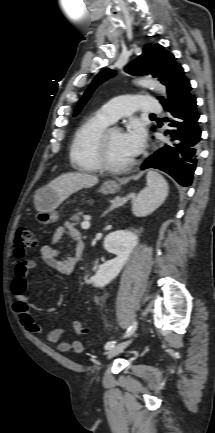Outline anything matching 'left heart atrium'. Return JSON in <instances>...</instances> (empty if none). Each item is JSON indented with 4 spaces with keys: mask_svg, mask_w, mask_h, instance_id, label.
Instances as JSON below:
<instances>
[{
    "mask_svg": "<svg viewBox=\"0 0 215 433\" xmlns=\"http://www.w3.org/2000/svg\"><path fill=\"white\" fill-rule=\"evenodd\" d=\"M122 141L128 154L134 157L144 146L145 132L138 123H134L126 132L122 133Z\"/></svg>",
    "mask_w": 215,
    "mask_h": 433,
    "instance_id": "left-heart-atrium-1",
    "label": "left heart atrium"
}]
</instances>
